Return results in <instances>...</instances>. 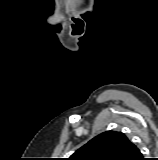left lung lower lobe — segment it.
<instances>
[{"label": "left lung lower lobe", "instance_id": "0a47b994", "mask_svg": "<svg viewBox=\"0 0 158 160\" xmlns=\"http://www.w3.org/2000/svg\"><path fill=\"white\" fill-rule=\"evenodd\" d=\"M131 160H144V158H142V154L138 148H136L135 153H134L133 157L131 158Z\"/></svg>", "mask_w": 158, "mask_h": 160}]
</instances>
